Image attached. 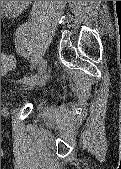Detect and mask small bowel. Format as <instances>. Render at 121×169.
Returning a JSON list of instances; mask_svg holds the SVG:
<instances>
[{
  "mask_svg": "<svg viewBox=\"0 0 121 169\" xmlns=\"http://www.w3.org/2000/svg\"><path fill=\"white\" fill-rule=\"evenodd\" d=\"M3 14L7 17H15L22 12L29 1H2Z\"/></svg>",
  "mask_w": 121,
  "mask_h": 169,
  "instance_id": "obj_1",
  "label": "small bowel"
}]
</instances>
